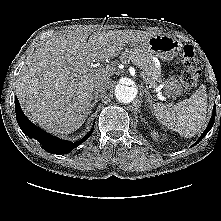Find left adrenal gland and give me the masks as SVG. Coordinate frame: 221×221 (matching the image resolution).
<instances>
[{
  "mask_svg": "<svg viewBox=\"0 0 221 221\" xmlns=\"http://www.w3.org/2000/svg\"><path fill=\"white\" fill-rule=\"evenodd\" d=\"M144 92H145V95H146V102H149V104H150V109H152V108L154 107V105H153L152 96H151V94L149 93L148 88L145 89Z\"/></svg>",
  "mask_w": 221,
  "mask_h": 221,
  "instance_id": "a2214340",
  "label": "left adrenal gland"
}]
</instances>
